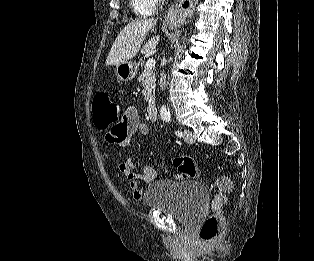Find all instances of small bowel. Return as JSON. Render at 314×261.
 I'll return each instance as SVG.
<instances>
[{"mask_svg": "<svg viewBox=\"0 0 314 261\" xmlns=\"http://www.w3.org/2000/svg\"><path fill=\"white\" fill-rule=\"evenodd\" d=\"M149 128L139 121V115L134 107H128L121 122L104 133V140H110L111 145L125 147L134 134L147 135ZM126 136V138H125ZM119 172L128 180L129 188L135 200L143 197L139 182H153L158 175L152 165H144L137 169L134 162L128 158L118 165Z\"/></svg>", "mask_w": 314, "mask_h": 261, "instance_id": "c3829d8e", "label": "small bowel"}]
</instances>
